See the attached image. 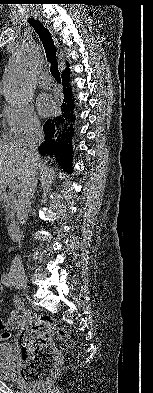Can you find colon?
<instances>
[{
  "label": "colon",
  "instance_id": "obj_1",
  "mask_svg": "<svg viewBox=\"0 0 153 393\" xmlns=\"http://www.w3.org/2000/svg\"><path fill=\"white\" fill-rule=\"evenodd\" d=\"M25 324L24 316L13 315L6 321L0 319V330L9 331L21 328L19 334L22 358L20 375L25 383L36 387L48 381L62 366L61 351L52 344L54 330L58 329V335L70 349L74 348L75 344L68 331L58 328L55 320L49 315L42 314L30 326H25Z\"/></svg>",
  "mask_w": 153,
  "mask_h": 393
}]
</instances>
